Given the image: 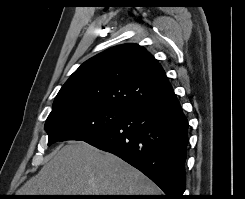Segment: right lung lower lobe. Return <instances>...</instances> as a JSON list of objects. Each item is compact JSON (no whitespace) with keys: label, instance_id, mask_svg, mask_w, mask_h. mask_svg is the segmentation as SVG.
<instances>
[{"label":"right lung lower lobe","instance_id":"right-lung-lower-lobe-1","mask_svg":"<svg viewBox=\"0 0 245 199\" xmlns=\"http://www.w3.org/2000/svg\"><path fill=\"white\" fill-rule=\"evenodd\" d=\"M85 142L140 170L163 190L164 199H183L188 121L174 92L130 110Z\"/></svg>","mask_w":245,"mask_h":199}]
</instances>
